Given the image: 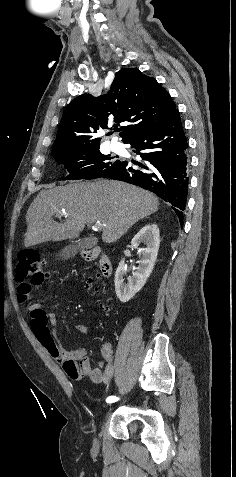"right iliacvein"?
Instances as JSON below:
<instances>
[{
    "mask_svg": "<svg viewBox=\"0 0 236 477\" xmlns=\"http://www.w3.org/2000/svg\"><path fill=\"white\" fill-rule=\"evenodd\" d=\"M112 407H113V405H109V404L107 403V405H106V409H107V410H106V413H105V416H106V417H109L110 414H112V411H111V409H110V408H112ZM95 443H97V441H95Z\"/></svg>",
    "mask_w": 236,
    "mask_h": 477,
    "instance_id": "63e3f726",
    "label": "right iliac vein"
}]
</instances>
